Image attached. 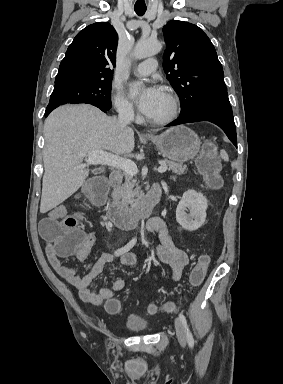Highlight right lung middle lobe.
I'll return each instance as SVG.
<instances>
[{"label":"right lung middle lobe","instance_id":"right-lung-middle-lobe-1","mask_svg":"<svg viewBox=\"0 0 283 384\" xmlns=\"http://www.w3.org/2000/svg\"><path fill=\"white\" fill-rule=\"evenodd\" d=\"M112 79L92 80L64 84L54 87L48 108H56L66 103H89L111 105Z\"/></svg>","mask_w":283,"mask_h":384}]
</instances>
